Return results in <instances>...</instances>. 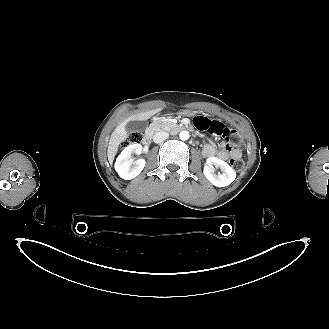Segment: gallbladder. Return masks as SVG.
I'll use <instances>...</instances> for the list:
<instances>
[{
    "label": "gallbladder",
    "mask_w": 329,
    "mask_h": 329,
    "mask_svg": "<svg viewBox=\"0 0 329 329\" xmlns=\"http://www.w3.org/2000/svg\"><path fill=\"white\" fill-rule=\"evenodd\" d=\"M146 127L145 121L131 120L126 124V129L130 132H143Z\"/></svg>",
    "instance_id": "obj_1"
}]
</instances>
